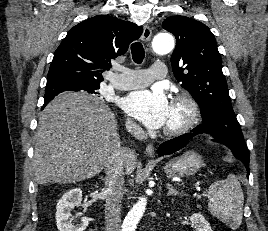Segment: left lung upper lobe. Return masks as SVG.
<instances>
[{"mask_svg":"<svg viewBox=\"0 0 268 231\" xmlns=\"http://www.w3.org/2000/svg\"><path fill=\"white\" fill-rule=\"evenodd\" d=\"M162 27L177 41L171 56L173 73L200 106L202 124L191 131L211 134L220 142L233 143L247 150L210 29L185 16L168 17Z\"/></svg>","mask_w":268,"mask_h":231,"instance_id":"left-lung-upper-lobe-1","label":"left lung upper lobe"}]
</instances>
